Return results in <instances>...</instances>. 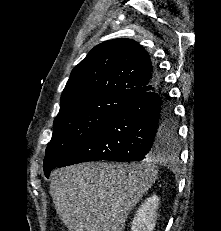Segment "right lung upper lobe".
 <instances>
[{
  "label": "right lung upper lobe",
  "instance_id": "right-lung-upper-lobe-1",
  "mask_svg": "<svg viewBox=\"0 0 221 231\" xmlns=\"http://www.w3.org/2000/svg\"><path fill=\"white\" fill-rule=\"evenodd\" d=\"M155 71L147 51L134 40L105 41L72 70L61 95L60 109L91 96L130 100L155 88Z\"/></svg>",
  "mask_w": 221,
  "mask_h": 231
}]
</instances>
